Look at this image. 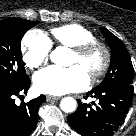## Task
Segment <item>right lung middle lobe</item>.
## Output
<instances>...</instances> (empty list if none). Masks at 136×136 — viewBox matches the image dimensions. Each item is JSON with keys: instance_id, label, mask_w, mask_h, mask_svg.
<instances>
[{"instance_id": "dd1d6c3e", "label": "right lung middle lobe", "mask_w": 136, "mask_h": 136, "mask_svg": "<svg viewBox=\"0 0 136 136\" xmlns=\"http://www.w3.org/2000/svg\"><path fill=\"white\" fill-rule=\"evenodd\" d=\"M36 21L8 18L0 21V90L17 87L29 77L21 56V39Z\"/></svg>"}]
</instances>
